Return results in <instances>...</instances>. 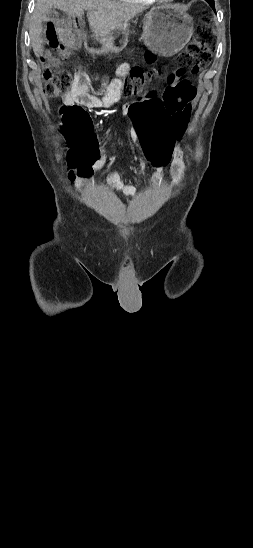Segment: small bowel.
I'll return each mask as SVG.
<instances>
[{"mask_svg": "<svg viewBox=\"0 0 253 548\" xmlns=\"http://www.w3.org/2000/svg\"><path fill=\"white\" fill-rule=\"evenodd\" d=\"M131 70H132V67L129 63L122 64L117 70V78L111 82V84L105 90L102 97H98L97 95L91 92L90 80L88 75L83 71H78L74 74L72 88L70 92L64 96L63 102L66 106L76 104V105L85 106L90 109H95V108L112 109L115 107L119 99L121 79L124 76L128 75ZM130 107L131 105H128L124 110H122L120 112V116H125L129 114ZM131 135L134 140L140 141L141 143H143V141L137 137L136 133L131 132ZM171 158H172V163H171L170 170H171V174L174 177L175 183H177L183 170V152L175 139H174V144L172 145ZM146 159H148V157L139 159L138 172L140 174H143L145 172ZM108 160L109 158L107 154H103L99 156V158L92 163L90 167L91 171L103 168L108 163ZM153 167L155 171L151 176V183L154 186H158L161 184L163 180V166H153ZM88 175L79 176L75 180V185L77 188H79L83 184L85 178ZM107 181L109 186L113 190L117 191L118 193H121L122 195L126 197H134L136 195V188L132 185L124 184L118 172H111L108 175Z\"/></svg>", "mask_w": 253, "mask_h": 548, "instance_id": "small-bowel-1", "label": "small bowel"}]
</instances>
